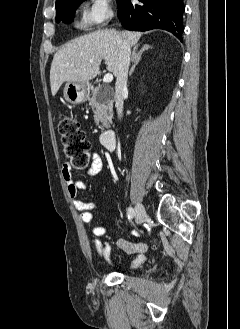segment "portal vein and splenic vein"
<instances>
[{
	"label": "portal vein and splenic vein",
	"instance_id": "portal-vein-and-splenic-vein-1",
	"mask_svg": "<svg viewBox=\"0 0 240 329\" xmlns=\"http://www.w3.org/2000/svg\"><path fill=\"white\" fill-rule=\"evenodd\" d=\"M92 63L93 62L91 61L90 64ZM112 80H113V75L111 73L106 74L103 78L104 83H110Z\"/></svg>",
	"mask_w": 240,
	"mask_h": 329
}]
</instances>
